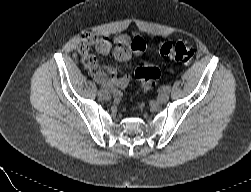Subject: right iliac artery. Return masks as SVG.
<instances>
[{
    "mask_svg": "<svg viewBox=\"0 0 251 192\" xmlns=\"http://www.w3.org/2000/svg\"><path fill=\"white\" fill-rule=\"evenodd\" d=\"M103 93H104V90H103V89H100V90L98 91V95H99L100 97L103 95Z\"/></svg>",
    "mask_w": 251,
    "mask_h": 192,
    "instance_id": "1",
    "label": "right iliac artery"
}]
</instances>
